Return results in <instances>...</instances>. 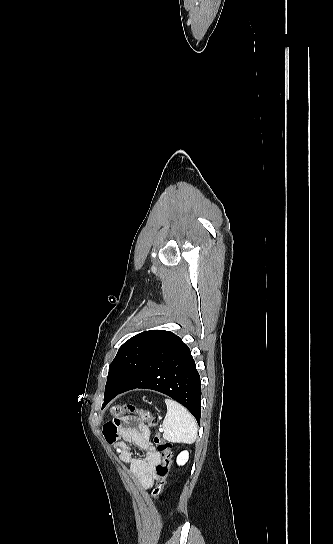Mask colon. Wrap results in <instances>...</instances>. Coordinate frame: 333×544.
<instances>
[{
	"label": "colon",
	"mask_w": 333,
	"mask_h": 544,
	"mask_svg": "<svg viewBox=\"0 0 333 544\" xmlns=\"http://www.w3.org/2000/svg\"><path fill=\"white\" fill-rule=\"evenodd\" d=\"M110 414L114 417H119L124 414L137 415L143 422H145L149 427H151L154 432V443L158 452L162 456V462L157 465L156 471V483L152 490V495L154 498H159L163 493L167 477L170 472V466L173 456L172 444L164 440L157 428H158V419L155 417L149 410L139 409L133 405L118 404L114 405L110 409Z\"/></svg>",
	"instance_id": "obj_1"
}]
</instances>
